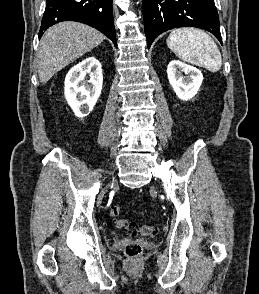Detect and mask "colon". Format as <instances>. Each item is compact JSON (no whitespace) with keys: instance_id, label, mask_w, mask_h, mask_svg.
Returning <instances> with one entry per match:
<instances>
[{"instance_id":"colon-1","label":"colon","mask_w":259,"mask_h":294,"mask_svg":"<svg viewBox=\"0 0 259 294\" xmlns=\"http://www.w3.org/2000/svg\"><path fill=\"white\" fill-rule=\"evenodd\" d=\"M110 216L114 219V223L117 228L120 229H130L133 227L132 223L118 218L120 214V207L118 206H111L109 209ZM156 232V227L150 224H143L139 226L138 233L144 236L153 235ZM124 253L130 259H137L142 254V247L137 242H131L126 245L124 249Z\"/></svg>"}]
</instances>
